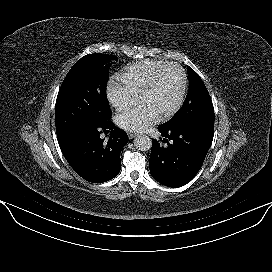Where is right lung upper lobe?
I'll list each match as a JSON object with an SVG mask.
<instances>
[{
    "label": "right lung upper lobe",
    "instance_id": "cb5924a9",
    "mask_svg": "<svg viewBox=\"0 0 272 272\" xmlns=\"http://www.w3.org/2000/svg\"><path fill=\"white\" fill-rule=\"evenodd\" d=\"M59 142V141H58ZM66 141H60L59 145H62L63 143H65Z\"/></svg>",
    "mask_w": 272,
    "mask_h": 272
}]
</instances>
